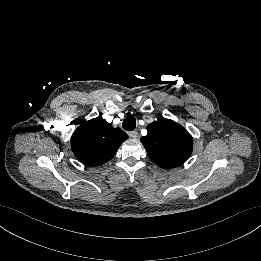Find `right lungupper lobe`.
I'll return each mask as SVG.
<instances>
[{"instance_id":"right-lung-upper-lobe-1","label":"right lung upper lobe","mask_w":261,"mask_h":261,"mask_svg":"<svg viewBox=\"0 0 261 261\" xmlns=\"http://www.w3.org/2000/svg\"><path fill=\"white\" fill-rule=\"evenodd\" d=\"M128 138L120 128H113L97 117L83 122L71 137V148L83 164L99 166L109 161Z\"/></svg>"}]
</instances>
